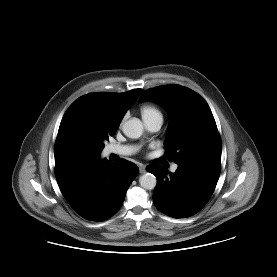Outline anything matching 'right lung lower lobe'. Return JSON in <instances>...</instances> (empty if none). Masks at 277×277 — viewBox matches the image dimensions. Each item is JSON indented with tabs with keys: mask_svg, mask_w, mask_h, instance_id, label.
<instances>
[{
	"mask_svg": "<svg viewBox=\"0 0 277 277\" xmlns=\"http://www.w3.org/2000/svg\"><path fill=\"white\" fill-rule=\"evenodd\" d=\"M136 164L122 159L118 165L100 158L55 164L59 188L72 209L91 221H104L121 208L137 176Z\"/></svg>",
	"mask_w": 277,
	"mask_h": 277,
	"instance_id": "98d812e1",
	"label": "right lung lower lobe"
}]
</instances>
